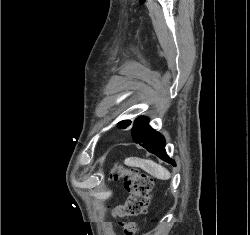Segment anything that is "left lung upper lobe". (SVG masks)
I'll use <instances>...</instances> for the list:
<instances>
[{"instance_id": "left-lung-upper-lobe-1", "label": "left lung upper lobe", "mask_w": 250, "mask_h": 235, "mask_svg": "<svg viewBox=\"0 0 250 235\" xmlns=\"http://www.w3.org/2000/svg\"><path fill=\"white\" fill-rule=\"evenodd\" d=\"M129 123H130V121L124 120V121L119 122L118 125H119L121 128H126L127 126H129Z\"/></svg>"}]
</instances>
